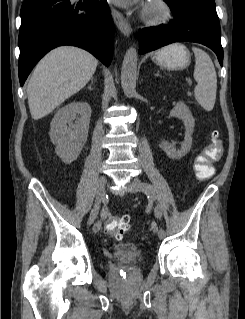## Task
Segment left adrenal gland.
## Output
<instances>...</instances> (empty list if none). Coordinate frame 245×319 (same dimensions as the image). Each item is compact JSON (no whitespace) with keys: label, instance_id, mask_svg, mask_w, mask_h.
I'll return each instance as SVG.
<instances>
[{"label":"left adrenal gland","instance_id":"1","mask_svg":"<svg viewBox=\"0 0 245 319\" xmlns=\"http://www.w3.org/2000/svg\"><path fill=\"white\" fill-rule=\"evenodd\" d=\"M155 76H160V77H163L162 75H160L159 71H157L156 74H154Z\"/></svg>","mask_w":245,"mask_h":319}]
</instances>
